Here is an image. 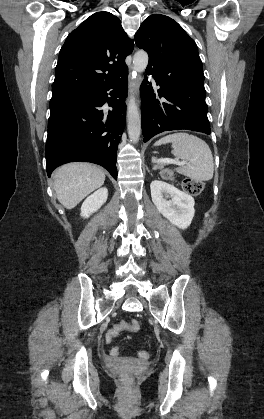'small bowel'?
<instances>
[{"label":"small bowel","mask_w":264,"mask_h":419,"mask_svg":"<svg viewBox=\"0 0 264 419\" xmlns=\"http://www.w3.org/2000/svg\"><path fill=\"white\" fill-rule=\"evenodd\" d=\"M119 325H120V323H118V324H115L111 329H109L108 331H107V333H106V337H105V339H106V342H111L112 341V339L114 338V337H116L119 333H117L115 336H113V337H109V335H110V332L111 331H113V330H115V329H118L119 328ZM110 354H111V356L112 357H117V356H119L120 355V349L118 348V347H114L112 350H111V352H110Z\"/></svg>","instance_id":"c3829d8e"}]
</instances>
